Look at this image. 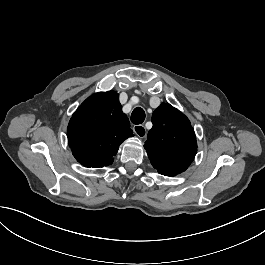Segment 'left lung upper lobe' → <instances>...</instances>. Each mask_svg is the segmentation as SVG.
<instances>
[{
	"label": "left lung upper lobe",
	"mask_w": 265,
	"mask_h": 265,
	"mask_svg": "<svg viewBox=\"0 0 265 265\" xmlns=\"http://www.w3.org/2000/svg\"><path fill=\"white\" fill-rule=\"evenodd\" d=\"M152 123L144 145L151 164L166 176L184 172L197 152L190 121L172 105L163 103L153 112Z\"/></svg>",
	"instance_id": "obj_1"
}]
</instances>
